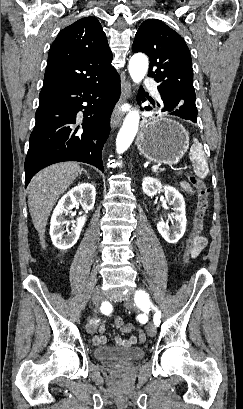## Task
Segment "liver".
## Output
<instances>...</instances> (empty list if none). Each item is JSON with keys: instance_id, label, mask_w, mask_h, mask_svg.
Here are the masks:
<instances>
[{"instance_id": "6515ba94", "label": "liver", "mask_w": 243, "mask_h": 409, "mask_svg": "<svg viewBox=\"0 0 243 409\" xmlns=\"http://www.w3.org/2000/svg\"><path fill=\"white\" fill-rule=\"evenodd\" d=\"M81 173L78 163L63 162L38 172L28 186V207L42 248H45V230L56 201Z\"/></svg>"}]
</instances>
